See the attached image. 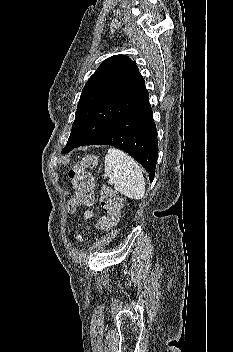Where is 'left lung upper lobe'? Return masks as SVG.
<instances>
[{
	"label": "left lung upper lobe",
	"mask_w": 233,
	"mask_h": 352,
	"mask_svg": "<svg viewBox=\"0 0 233 352\" xmlns=\"http://www.w3.org/2000/svg\"><path fill=\"white\" fill-rule=\"evenodd\" d=\"M148 99L145 81L128 56H111L89 78L63 153L86 145Z\"/></svg>",
	"instance_id": "obj_1"
}]
</instances>
